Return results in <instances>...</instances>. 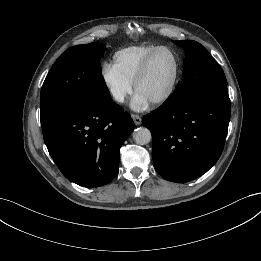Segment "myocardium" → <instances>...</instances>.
Here are the masks:
<instances>
[{"label": "myocardium", "mask_w": 261, "mask_h": 261, "mask_svg": "<svg viewBox=\"0 0 261 261\" xmlns=\"http://www.w3.org/2000/svg\"><path fill=\"white\" fill-rule=\"evenodd\" d=\"M160 51H168L172 54V56L174 58L175 67H174V74H173L172 81H171L169 87L167 88V90L162 95H160L159 97L150 101V103L154 106H160V105H163L164 103H166L172 97V95L174 94V92L176 90L178 80H179V74H180V60H179L177 53L172 48H170L168 46L157 47L144 60L142 66H141V68H140V70H139L138 74L136 75L135 80L133 82L134 90L137 92L139 85L141 84V82L145 79V77L148 74L149 67L151 65L153 58Z\"/></svg>", "instance_id": "1"}]
</instances>
